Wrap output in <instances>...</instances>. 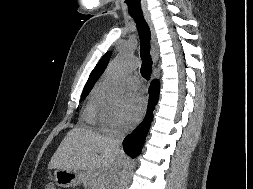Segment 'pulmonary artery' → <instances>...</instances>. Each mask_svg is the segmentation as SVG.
<instances>
[{"label":"pulmonary artery","instance_id":"pulmonary-artery-1","mask_svg":"<svg viewBox=\"0 0 253 189\" xmlns=\"http://www.w3.org/2000/svg\"><path fill=\"white\" fill-rule=\"evenodd\" d=\"M129 84L133 87V88H138L139 87V84H140V81L137 77L135 76H132L130 77L129 79Z\"/></svg>","mask_w":253,"mask_h":189}]
</instances>
